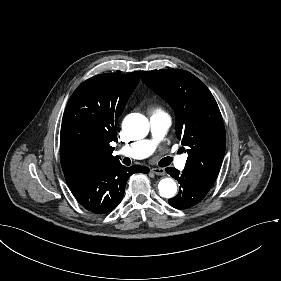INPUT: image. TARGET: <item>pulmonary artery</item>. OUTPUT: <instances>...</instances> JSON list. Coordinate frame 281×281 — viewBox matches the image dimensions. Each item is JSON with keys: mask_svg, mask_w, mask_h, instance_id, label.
<instances>
[{"mask_svg": "<svg viewBox=\"0 0 281 281\" xmlns=\"http://www.w3.org/2000/svg\"><path fill=\"white\" fill-rule=\"evenodd\" d=\"M171 120L166 113L157 111L152 114L150 121L147 124V128L151 134V139H143L135 144H129L123 147L122 154L126 158H137L140 154L144 153V156L151 155L157 148L159 141H161L168 130ZM186 157H183L180 161V168H183L186 163Z\"/></svg>", "mask_w": 281, "mask_h": 281, "instance_id": "obj_1", "label": "pulmonary artery"}]
</instances>
